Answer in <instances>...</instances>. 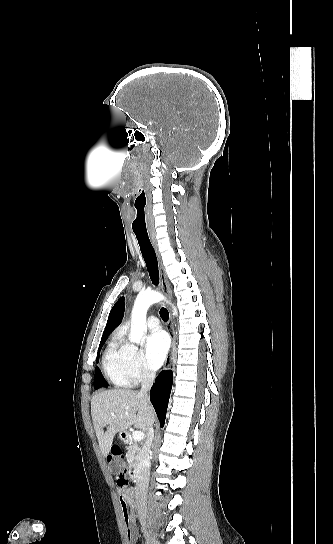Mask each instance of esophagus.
Here are the masks:
<instances>
[{
  "label": "esophagus",
  "mask_w": 333,
  "mask_h": 544,
  "mask_svg": "<svg viewBox=\"0 0 333 544\" xmlns=\"http://www.w3.org/2000/svg\"><path fill=\"white\" fill-rule=\"evenodd\" d=\"M150 240L157 256L161 288L164 294L168 298H171V289H170L169 281L165 273L164 266L162 264V260L158 251V247H157V243H156V239L154 235H150ZM167 330L169 331V334L171 337V349L165 360V369H169L171 367L173 355L175 353V335H174V328H173V322H172V315L170 311H169V320L167 322Z\"/></svg>",
  "instance_id": "1"
}]
</instances>
